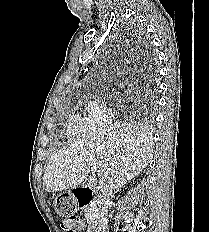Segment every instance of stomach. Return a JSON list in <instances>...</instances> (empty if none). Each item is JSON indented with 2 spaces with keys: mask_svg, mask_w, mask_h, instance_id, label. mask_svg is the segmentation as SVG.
Instances as JSON below:
<instances>
[{
  "mask_svg": "<svg viewBox=\"0 0 209 232\" xmlns=\"http://www.w3.org/2000/svg\"><path fill=\"white\" fill-rule=\"evenodd\" d=\"M56 211H59V217L64 218V221H79V216L76 213L75 194H56Z\"/></svg>",
  "mask_w": 209,
  "mask_h": 232,
  "instance_id": "0dacf381",
  "label": "stomach"
}]
</instances>
